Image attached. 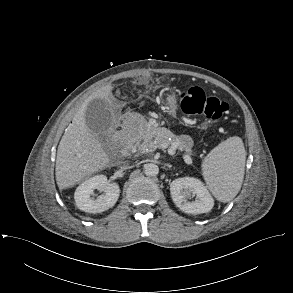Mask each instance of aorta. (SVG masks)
I'll list each match as a JSON object with an SVG mask.
<instances>
[{
    "label": "aorta",
    "instance_id": "obj_1",
    "mask_svg": "<svg viewBox=\"0 0 293 293\" xmlns=\"http://www.w3.org/2000/svg\"><path fill=\"white\" fill-rule=\"evenodd\" d=\"M144 173L146 176H156L159 173V167L155 163H149L144 166Z\"/></svg>",
    "mask_w": 293,
    "mask_h": 293
}]
</instances>
